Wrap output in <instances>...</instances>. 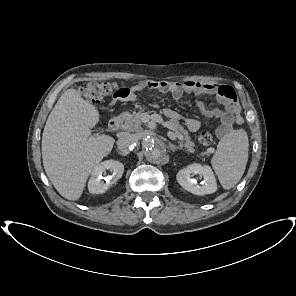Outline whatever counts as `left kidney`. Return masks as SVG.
Wrapping results in <instances>:
<instances>
[{"label": "left kidney", "instance_id": "obj_1", "mask_svg": "<svg viewBox=\"0 0 296 296\" xmlns=\"http://www.w3.org/2000/svg\"><path fill=\"white\" fill-rule=\"evenodd\" d=\"M194 175L203 176L201 185L192 178ZM178 183L187 191L195 195L211 194L216 192L217 183L215 176L209 166L193 163L178 171L176 175Z\"/></svg>", "mask_w": 296, "mask_h": 296}]
</instances>
